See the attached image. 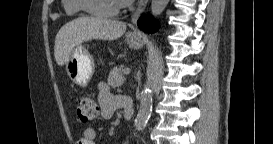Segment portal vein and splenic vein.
Wrapping results in <instances>:
<instances>
[{
	"instance_id": "18ae733b",
	"label": "portal vein and splenic vein",
	"mask_w": 273,
	"mask_h": 144,
	"mask_svg": "<svg viewBox=\"0 0 273 144\" xmlns=\"http://www.w3.org/2000/svg\"><path fill=\"white\" fill-rule=\"evenodd\" d=\"M130 72H131V69H129V68H126V69L124 70V74H125V75H129Z\"/></svg>"
}]
</instances>
